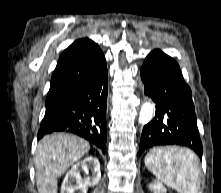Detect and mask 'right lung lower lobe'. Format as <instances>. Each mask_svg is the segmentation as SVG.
Listing matches in <instances>:
<instances>
[{"label":"right lung lower lobe","instance_id":"obj_1","mask_svg":"<svg viewBox=\"0 0 221 193\" xmlns=\"http://www.w3.org/2000/svg\"><path fill=\"white\" fill-rule=\"evenodd\" d=\"M107 67L105 59L63 100V109L44 118L38 139L53 132H71L106 151Z\"/></svg>","mask_w":221,"mask_h":193}]
</instances>
